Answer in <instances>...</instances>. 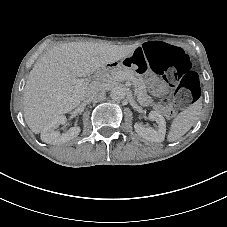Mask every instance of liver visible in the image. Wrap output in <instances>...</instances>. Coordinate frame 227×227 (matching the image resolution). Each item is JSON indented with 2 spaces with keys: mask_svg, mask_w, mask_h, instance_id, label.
I'll list each match as a JSON object with an SVG mask.
<instances>
[{
  "mask_svg": "<svg viewBox=\"0 0 227 227\" xmlns=\"http://www.w3.org/2000/svg\"><path fill=\"white\" fill-rule=\"evenodd\" d=\"M134 45L71 42L49 49L35 62L23 90L24 118L35 134L53 118L76 108L89 86L78 78L92 75L134 51ZM98 82V81H97ZM100 87L106 88L99 82Z\"/></svg>",
  "mask_w": 227,
  "mask_h": 227,
  "instance_id": "liver-1",
  "label": "liver"
}]
</instances>
